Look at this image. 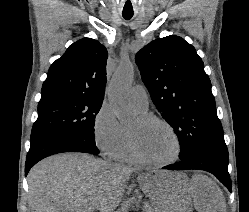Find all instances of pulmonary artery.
<instances>
[{"mask_svg":"<svg viewBox=\"0 0 249 212\" xmlns=\"http://www.w3.org/2000/svg\"><path fill=\"white\" fill-rule=\"evenodd\" d=\"M131 103L141 112H146L149 107V98L147 91L143 85L137 84L131 89Z\"/></svg>","mask_w":249,"mask_h":212,"instance_id":"1","label":"pulmonary artery"}]
</instances>
